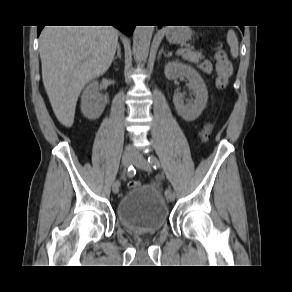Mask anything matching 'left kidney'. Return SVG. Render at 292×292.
Returning <instances> with one entry per match:
<instances>
[{
    "label": "left kidney",
    "mask_w": 292,
    "mask_h": 292,
    "mask_svg": "<svg viewBox=\"0 0 292 292\" xmlns=\"http://www.w3.org/2000/svg\"><path fill=\"white\" fill-rule=\"evenodd\" d=\"M164 73L167 79L174 80L180 76H185L189 83V90L194 95V100L184 103V94L177 93L173 96V103L177 113L188 122L197 119L205 109L208 101L207 87L200 74L190 65L171 61L165 65Z\"/></svg>",
    "instance_id": "5707ae66"
}]
</instances>
